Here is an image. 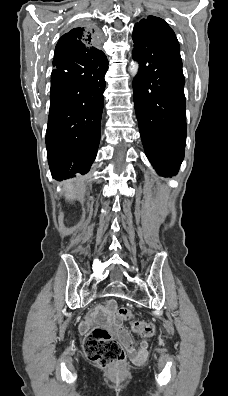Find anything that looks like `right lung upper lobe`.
Listing matches in <instances>:
<instances>
[{"label":"right lung upper lobe","mask_w":228,"mask_h":396,"mask_svg":"<svg viewBox=\"0 0 228 396\" xmlns=\"http://www.w3.org/2000/svg\"><path fill=\"white\" fill-rule=\"evenodd\" d=\"M96 35L95 31L86 27L74 28L64 34L58 41L55 52L66 49L76 48L86 50L95 47Z\"/></svg>","instance_id":"obj_1"}]
</instances>
